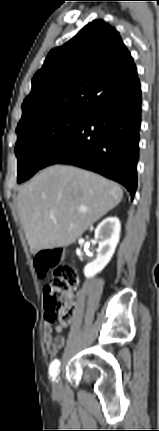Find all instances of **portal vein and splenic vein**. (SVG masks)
Returning <instances> with one entry per match:
<instances>
[{
	"instance_id": "portal-vein-and-splenic-vein-1",
	"label": "portal vein and splenic vein",
	"mask_w": 159,
	"mask_h": 431,
	"mask_svg": "<svg viewBox=\"0 0 159 431\" xmlns=\"http://www.w3.org/2000/svg\"><path fill=\"white\" fill-rule=\"evenodd\" d=\"M78 211H79V212H87V211H88V209H87V208H80ZM50 218H51V219H54V218H55V216H54L53 214H51V215H50Z\"/></svg>"
}]
</instances>
